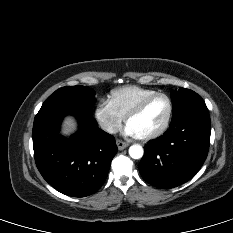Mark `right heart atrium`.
Masks as SVG:
<instances>
[{
    "mask_svg": "<svg viewBox=\"0 0 233 233\" xmlns=\"http://www.w3.org/2000/svg\"><path fill=\"white\" fill-rule=\"evenodd\" d=\"M94 114L101 128L108 134H115L122 125L123 118L109 101H101L96 106Z\"/></svg>",
    "mask_w": 233,
    "mask_h": 233,
    "instance_id": "d8ad5b80",
    "label": "right heart atrium"
}]
</instances>
